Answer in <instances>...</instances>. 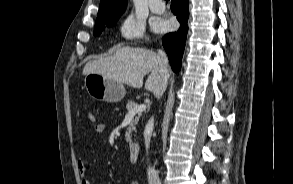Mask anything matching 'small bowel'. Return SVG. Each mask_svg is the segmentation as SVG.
Masks as SVG:
<instances>
[{"label":"small bowel","instance_id":"c3829d8e","mask_svg":"<svg viewBox=\"0 0 293 184\" xmlns=\"http://www.w3.org/2000/svg\"><path fill=\"white\" fill-rule=\"evenodd\" d=\"M105 124L104 123H95L93 126L94 132L97 134H101L105 131ZM77 167L78 171L80 174L81 178V183L82 184H93L92 181L88 178L87 172H88V167L86 162L83 159H79L77 162ZM130 184H139L138 182H131Z\"/></svg>","mask_w":293,"mask_h":184}]
</instances>
